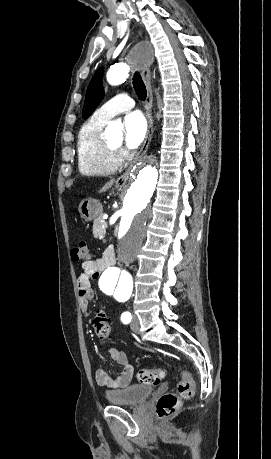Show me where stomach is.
I'll return each mask as SVG.
<instances>
[{
  "label": "stomach",
  "mask_w": 271,
  "mask_h": 459,
  "mask_svg": "<svg viewBox=\"0 0 271 459\" xmlns=\"http://www.w3.org/2000/svg\"><path fill=\"white\" fill-rule=\"evenodd\" d=\"M115 188H117V190H122V186H117V184ZM78 212L85 222H90V220H96V218L100 216L102 206L99 204L98 200L85 198V200H81L78 206Z\"/></svg>",
  "instance_id": "1"
}]
</instances>
